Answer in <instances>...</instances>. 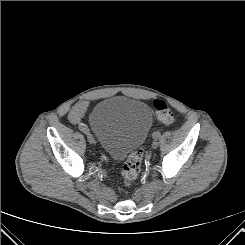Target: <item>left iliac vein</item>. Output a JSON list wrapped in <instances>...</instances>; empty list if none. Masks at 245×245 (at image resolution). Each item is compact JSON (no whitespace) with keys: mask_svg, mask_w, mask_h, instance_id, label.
I'll list each match as a JSON object with an SVG mask.
<instances>
[{"mask_svg":"<svg viewBox=\"0 0 245 245\" xmlns=\"http://www.w3.org/2000/svg\"><path fill=\"white\" fill-rule=\"evenodd\" d=\"M158 145H159V143H158L157 140H154V141L152 142V148H153V149H156V148L158 147Z\"/></svg>","mask_w":245,"mask_h":245,"instance_id":"4c4485c4","label":"left iliac vein"}]
</instances>
